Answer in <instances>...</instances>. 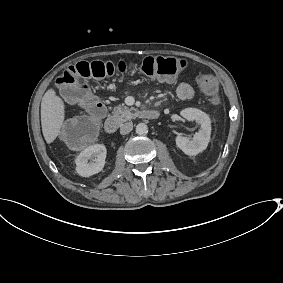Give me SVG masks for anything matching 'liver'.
<instances>
[{
	"instance_id": "1",
	"label": "liver",
	"mask_w": 283,
	"mask_h": 283,
	"mask_svg": "<svg viewBox=\"0 0 283 283\" xmlns=\"http://www.w3.org/2000/svg\"><path fill=\"white\" fill-rule=\"evenodd\" d=\"M64 121V103L49 89L41 102L42 133L48 144L52 143L60 133Z\"/></svg>"
}]
</instances>
